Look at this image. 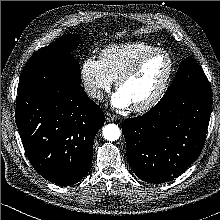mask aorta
<instances>
[{"mask_svg": "<svg viewBox=\"0 0 220 220\" xmlns=\"http://www.w3.org/2000/svg\"><path fill=\"white\" fill-rule=\"evenodd\" d=\"M103 136L108 141H116L120 138L121 132L117 125L108 124L103 128Z\"/></svg>", "mask_w": 220, "mask_h": 220, "instance_id": "762f6f07", "label": "aorta"}]
</instances>
